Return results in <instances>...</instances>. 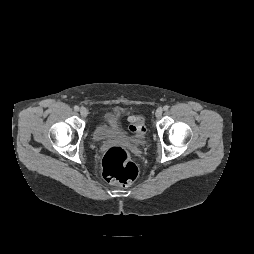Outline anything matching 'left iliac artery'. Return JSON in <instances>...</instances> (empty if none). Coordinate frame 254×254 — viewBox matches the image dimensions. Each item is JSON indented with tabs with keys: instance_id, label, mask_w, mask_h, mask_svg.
I'll use <instances>...</instances> for the list:
<instances>
[{
	"instance_id": "obj_1",
	"label": "left iliac artery",
	"mask_w": 254,
	"mask_h": 254,
	"mask_svg": "<svg viewBox=\"0 0 254 254\" xmlns=\"http://www.w3.org/2000/svg\"><path fill=\"white\" fill-rule=\"evenodd\" d=\"M163 109L166 111V110L169 109V106H168V105H165V106L163 107Z\"/></svg>"
}]
</instances>
